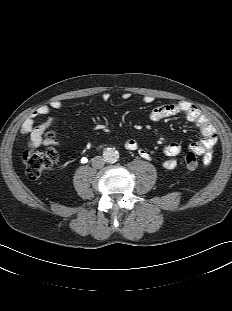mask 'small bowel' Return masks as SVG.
Instances as JSON below:
<instances>
[{
    "mask_svg": "<svg viewBox=\"0 0 232 311\" xmlns=\"http://www.w3.org/2000/svg\"><path fill=\"white\" fill-rule=\"evenodd\" d=\"M128 93L123 94V99H129ZM104 101L109 100V93L102 95ZM154 97L151 95H145L143 101L145 103L153 102ZM63 102L60 99H53L48 104L40 106L36 111L31 113L22 123L21 132L22 134L29 137L28 145L33 148L39 146L47 147H61L63 141L52 138L44 137L45 130L57 122L59 119L57 116L51 115L52 111H58L62 109ZM184 115L187 121L193 123L200 131L202 138L192 143L189 148L196 154L203 157V162L209 165L212 162L213 154L212 149L218 141V134L209 121V119L202 114V112L193 105L186 102L170 103L157 106L153 108L149 113L151 121H159L167 117ZM39 116L46 117L41 125L36 126L35 120ZM124 146L126 149L131 151H138L139 155L146 160L151 158L150 154L142 149L135 139H128L125 141ZM181 146L178 143H170L164 148V154L166 159L162 161V167L167 170H173L177 166L175 157L181 153Z\"/></svg>",
    "mask_w": 232,
    "mask_h": 311,
    "instance_id": "small-bowel-1",
    "label": "small bowel"
}]
</instances>
